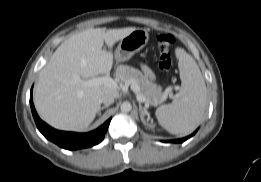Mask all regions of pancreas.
Here are the masks:
<instances>
[{"mask_svg":"<svg viewBox=\"0 0 261 182\" xmlns=\"http://www.w3.org/2000/svg\"><path fill=\"white\" fill-rule=\"evenodd\" d=\"M116 76L125 84L137 82L150 105L157 106L163 101L162 87L152 83L140 70L128 65H120L116 70Z\"/></svg>","mask_w":261,"mask_h":182,"instance_id":"cf45deb5","label":"pancreas"}]
</instances>
